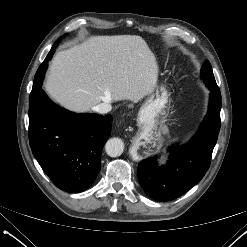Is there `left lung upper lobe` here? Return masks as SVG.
I'll return each instance as SVG.
<instances>
[{
	"mask_svg": "<svg viewBox=\"0 0 247 247\" xmlns=\"http://www.w3.org/2000/svg\"><path fill=\"white\" fill-rule=\"evenodd\" d=\"M201 76H202L204 83L206 84V86L209 89L219 90V87L216 84V81H215V78L213 75V71H212V68H211L209 61H206L202 65Z\"/></svg>",
	"mask_w": 247,
	"mask_h": 247,
	"instance_id": "5c2ea615",
	"label": "left lung upper lobe"
}]
</instances>
